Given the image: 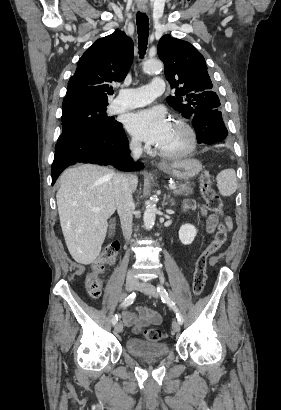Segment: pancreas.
Returning <instances> with one entry per match:
<instances>
[{
    "instance_id": "pancreas-1",
    "label": "pancreas",
    "mask_w": 281,
    "mask_h": 410,
    "mask_svg": "<svg viewBox=\"0 0 281 410\" xmlns=\"http://www.w3.org/2000/svg\"><path fill=\"white\" fill-rule=\"evenodd\" d=\"M176 189L173 190L175 195H191L193 194V188L188 183H179L176 182Z\"/></svg>"
}]
</instances>
